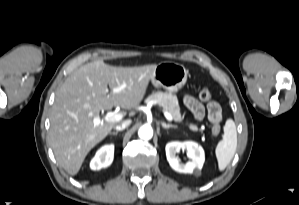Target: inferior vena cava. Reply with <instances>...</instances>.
<instances>
[{
    "label": "inferior vena cava",
    "mask_w": 299,
    "mask_h": 205,
    "mask_svg": "<svg viewBox=\"0 0 299 205\" xmlns=\"http://www.w3.org/2000/svg\"><path fill=\"white\" fill-rule=\"evenodd\" d=\"M130 124H131V120H125L122 123L117 124L114 128L117 131H121V130H124L125 128H127Z\"/></svg>",
    "instance_id": "602c4592"
}]
</instances>
